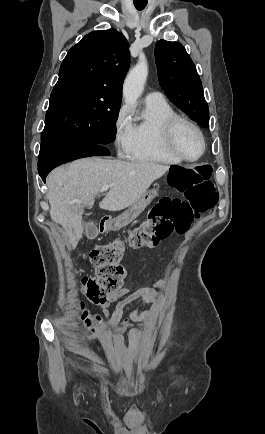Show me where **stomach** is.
I'll use <instances>...</instances> for the list:
<instances>
[{
	"label": "stomach",
	"instance_id": "obj_1",
	"mask_svg": "<svg viewBox=\"0 0 265 434\" xmlns=\"http://www.w3.org/2000/svg\"><path fill=\"white\" fill-rule=\"evenodd\" d=\"M158 196V190L154 188V190H147V192H144L136 202H134L133 206L125 212V214H122L121 220H114V223H110L107 226V229L110 232H117L121 230V225L118 224V222H125V224H129V222H132V220H135L143 210H145L146 206L154 200Z\"/></svg>",
	"mask_w": 265,
	"mask_h": 434
}]
</instances>
